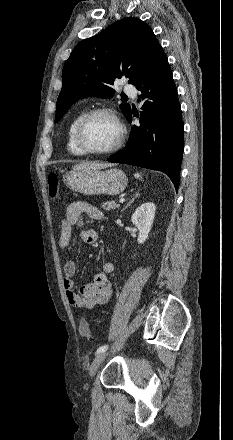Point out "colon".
Instances as JSON below:
<instances>
[{
    "label": "colon",
    "instance_id": "obj_1",
    "mask_svg": "<svg viewBox=\"0 0 233 440\" xmlns=\"http://www.w3.org/2000/svg\"><path fill=\"white\" fill-rule=\"evenodd\" d=\"M48 191L51 199H57L59 195V181L58 176L55 173H50L48 175ZM80 334L88 339H92L90 324L87 320H82L80 323Z\"/></svg>",
    "mask_w": 233,
    "mask_h": 440
}]
</instances>
